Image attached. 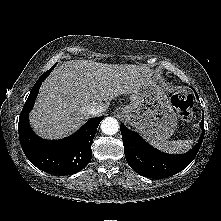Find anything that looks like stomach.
<instances>
[{
	"label": "stomach",
	"instance_id": "1",
	"mask_svg": "<svg viewBox=\"0 0 221 221\" xmlns=\"http://www.w3.org/2000/svg\"><path fill=\"white\" fill-rule=\"evenodd\" d=\"M130 103L119 107L124 120L149 141H164L177 128V116L165 90L150 75L129 93Z\"/></svg>",
	"mask_w": 221,
	"mask_h": 221
}]
</instances>
